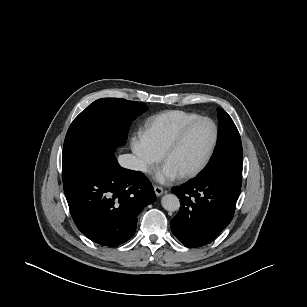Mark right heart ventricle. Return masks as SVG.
Wrapping results in <instances>:
<instances>
[{
  "label": "right heart ventricle",
  "instance_id": "1",
  "mask_svg": "<svg viewBox=\"0 0 307 307\" xmlns=\"http://www.w3.org/2000/svg\"><path fill=\"white\" fill-rule=\"evenodd\" d=\"M200 116L197 113L182 110L163 112L147 122L144 136L156 151L163 154L180 129Z\"/></svg>",
  "mask_w": 307,
  "mask_h": 307
}]
</instances>
